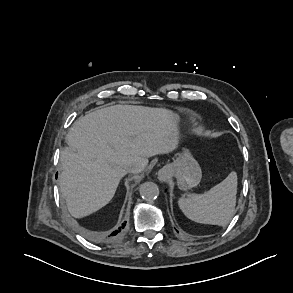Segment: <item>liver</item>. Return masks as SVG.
I'll return each instance as SVG.
<instances>
[{
	"label": "liver",
	"mask_w": 293,
	"mask_h": 293,
	"mask_svg": "<svg viewBox=\"0 0 293 293\" xmlns=\"http://www.w3.org/2000/svg\"><path fill=\"white\" fill-rule=\"evenodd\" d=\"M179 116L163 108L115 105L74 122L61 152L60 191L75 218L88 216L113 198L132 165L141 172L148 158L173 152L172 127Z\"/></svg>",
	"instance_id": "liver-1"
}]
</instances>
